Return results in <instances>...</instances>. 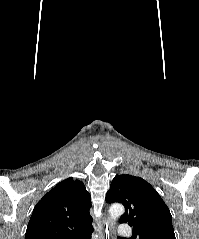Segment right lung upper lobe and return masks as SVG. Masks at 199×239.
<instances>
[{
	"label": "right lung upper lobe",
	"mask_w": 199,
	"mask_h": 239,
	"mask_svg": "<svg viewBox=\"0 0 199 239\" xmlns=\"http://www.w3.org/2000/svg\"><path fill=\"white\" fill-rule=\"evenodd\" d=\"M90 207L83 182L65 179L36 204L25 239H71L92 227Z\"/></svg>",
	"instance_id": "right-lung-upper-lobe-1"
}]
</instances>
